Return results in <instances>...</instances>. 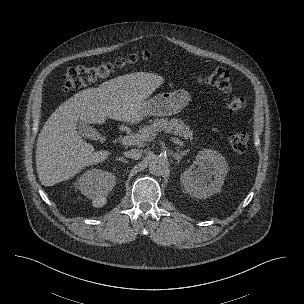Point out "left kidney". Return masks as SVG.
Listing matches in <instances>:
<instances>
[{"instance_id": "left-kidney-1", "label": "left kidney", "mask_w": 304, "mask_h": 304, "mask_svg": "<svg viewBox=\"0 0 304 304\" xmlns=\"http://www.w3.org/2000/svg\"><path fill=\"white\" fill-rule=\"evenodd\" d=\"M227 172L228 164L223 155L212 149H204L199 152L193 165L181 174L180 181L190 195L208 198L221 191Z\"/></svg>"}]
</instances>
